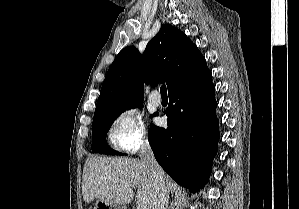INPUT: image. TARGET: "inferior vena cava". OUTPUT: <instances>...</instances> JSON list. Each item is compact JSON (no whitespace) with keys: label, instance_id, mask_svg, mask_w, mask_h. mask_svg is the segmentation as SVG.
Here are the masks:
<instances>
[{"label":"inferior vena cava","instance_id":"inferior-vena-cava-1","mask_svg":"<svg viewBox=\"0 0 299 209\" xmlns=\"http://www.w3.org/2000/svg\"><path fill=\"white\" fill-rule=\"evenodd\" d=\"M140 153V158L149 169L157 190V197L153 203V209H167L169 193L165 184V173L157 163L148 140H144L141 143Z\"/></svg>","mask_w":299,"mask_h":209}]
</instances>
